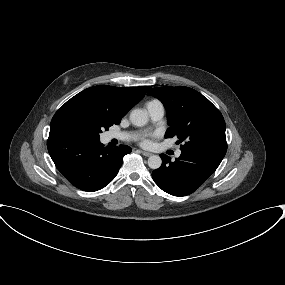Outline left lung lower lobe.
Segmentation results:
<instances>
[{
    "label": "left lung lower lobe",
    "instance_id": "1",
    "mask_svg": "<svg viewBox=\"0 0 285 285\" xmlns=\"http://www.w3.org/2000/svg\"><path fill=\"white\" fill-rule=\"evenodd\" d=\"M160 157L162 165L153 171L152 178L163 191L174 196L193 193L215 172L223 159L197 151H182L174 162L165 154Z\"/></svg>",
    "mask_w": 285,
    "mask_h": 285
}]
</instances>
